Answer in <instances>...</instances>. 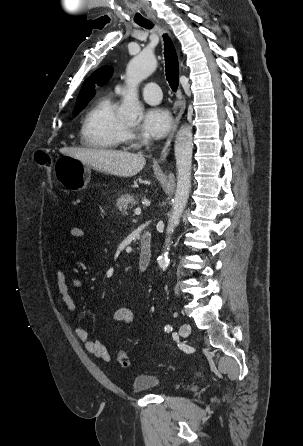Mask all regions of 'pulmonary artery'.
<instances>
[{
	"label": "pulmonary artery",
	"mask_w": 303,
	"mask_h": 446,
	"mask_svg": "<svg viewBox=\"0 0 303 446\" xmlns=\"http://www.w3.org/2000/svg\"><path fill=\"white\" fill-rule=\"evenodd\" d=\"M119 92L123 91V88L118 86ZM143 99L149 104H158L161 101L162 93L160 87L153 82L146 83L141 89Z\"/></svg>",
	"instance_id": "e3ab8cb5"
}]
</instances>
